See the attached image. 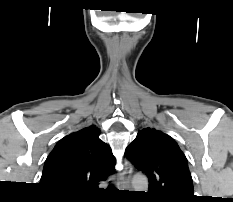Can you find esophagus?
<instances>
[{
    "label": "esophagus",
    "instance_id": "obj_1",
    "mask_svg": "<svg viewBox=\"0 0 233 202\" xmlns=\"http://www.w3.org/2000/svg\"><path fill=\"white\" fill-rule=\"evenodd\" d=\"M132 165L128 160H124V169L120 173V184L124 187H130L132 176Z\"/></svg>",
    "mask_w": 233,
    "mask_h": 202
}]
</instances>
